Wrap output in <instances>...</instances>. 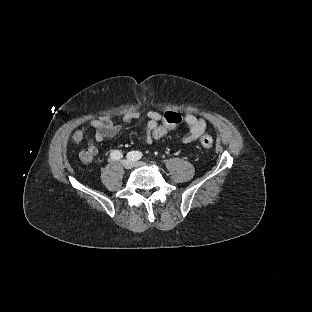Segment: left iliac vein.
I'll list each match as a JSON object with an SVG mask.
<instances>
[{
  "mask_svg": "<svg viewBox=\"0 0 312 312\" xmlns=\"http://www.w3.org/2000/svg\"><path fill=\"white\" fill-rule=\"evenodd\" d=\"M145 165H146V163L143 162V161L134 162V163H133V166H134V167H140V166H145Z\"/></svg>",
  "mask_w": 312,
  "mask_h": 312,
  "instance_id": "left-iliac-vein-1",
  "label": "left iliac vein"
}]
</instances>
